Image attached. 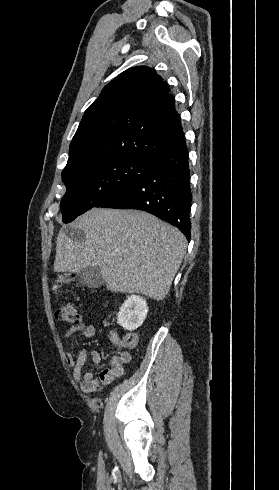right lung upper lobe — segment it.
<instances>
[{"instance_id":"cb5924a9","label":"right lung upper lobe","mask_w":279,"mask_h":490,"mask_svg":"<svg viewBox=\"0 0 279 490\" xmlns=\"http://www.w3.org/2000/svg\"><path fill=\"white\" fill-rule=\"evenodd\" d=\"M169 91L163 78L147 66L128 69L113 79L85 111L62 174L99 159L152 162L184 143Z\"/></svg>"}]
</instances>
